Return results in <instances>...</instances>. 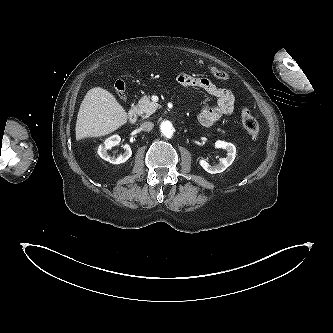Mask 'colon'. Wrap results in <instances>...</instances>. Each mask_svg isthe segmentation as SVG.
I'll return each mask as SVG.
<instances>
[{
  "label": "colon",
  "mask_w": 333,
  "mask_h": 333,
  "mask_svg": "<svg viewBox=\"0 0 333 333\" xmlns=\"http://www.w3.org/2000/svg\"><path fill=\"white\" fill-rule=\"evenodd\" d=\"M211 74L213 77L220 81H227L229 79L228 74L218 68L212 67L210 69ZM115 92L118 97L124 98L125 96V85L122 80H117L115 83ZM241 120L243 127L245 128L246 132L252 137L257 138L260 134V126L257 120L252 115L251 111L244 107L241 110Z\"/></svg>",
  "instance_id": "obj_1"
}]
</instances>
